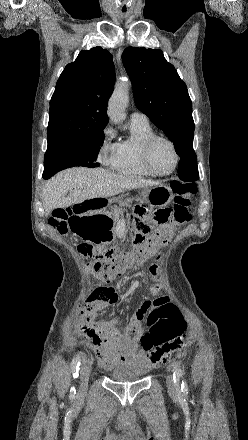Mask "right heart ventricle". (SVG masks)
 <instances>
[{"label": "right heart ventricle", "instance_id": "1", "mask_svg": "<svg viewBox=\"0 0 248 440\" xmlns=\"http://www.w3.org/2000/svg\"><path fill=\"white\" fill-rule=\"evenodd\" d=\"M154 135L156 134L149 123L131 122L129 137L117 143L113 169L129 176H150L141 163V148L143 143Z\"/></svg>", "mask_w": 248, "mask_h": 440}]
</instances>
